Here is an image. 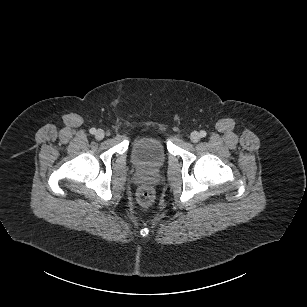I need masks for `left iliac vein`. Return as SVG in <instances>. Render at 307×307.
Listing matches in <instances>:
<instances>
[{
  "label": "left iliac vein",
  "mask_w": 307,
  "mask_h": 307,
  "mask_svg": "<svg viewBox=\"0 0 307 307\" xmlns=\"http://www.w3.org/2000/svg\"><path fill=\"white\" fill-rule=\"evenodd\" d=\"M201 136L197 131H194L190 135V139L193 143H197L200 140Z\"/></svg>",
  "instance_id": "4c4485c4"
}]
</instances>
